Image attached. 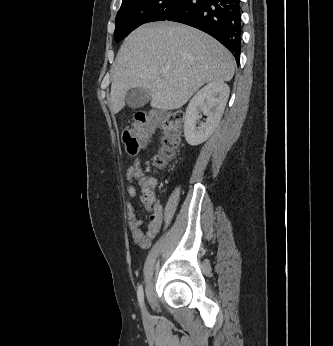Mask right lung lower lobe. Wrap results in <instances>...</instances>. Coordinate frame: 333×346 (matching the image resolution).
<instances>
[{
	"label": "right lung lower lobe",
	"mask_w": 333,
	"mask_h": 346,
	"mask_svg": "<svg viewBox=\"0 0 333 346\" xmlns=\"http://www.w3.org/2000/svg\"><path fill=\"white\" fill-rule=\"evenodd\" d=\"M165 20L187 24L208 33L231 51L239 62L240 0H183Z\"/></svg>",
	"instance_id": "1"
}]
</instances>
